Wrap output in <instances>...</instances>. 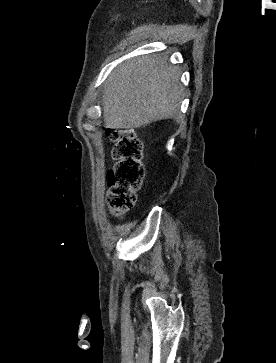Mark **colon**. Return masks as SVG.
Instances as JSON below:
<instances>
[{"label": "colon", "instance_id": "1", "mask_svg": "<svg viewBox=\"0 0 276 363\" xmlns=\"http://www.w3.org/2000/svg\"><path fill=\"white\" fill-rule=\"evenodd\" d=\"M107 135L114 143L112 169L107 174V204L115 216L131 210L144 177L142 143L129 129H108Z\"/></svg>", "mask_w": 276, "mask_h": 363}]
</instances>
